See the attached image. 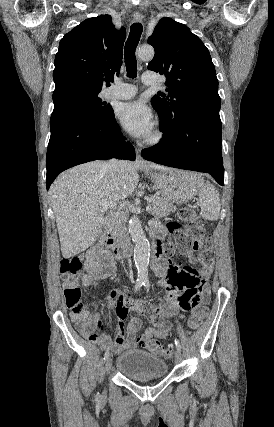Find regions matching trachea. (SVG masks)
I'll list each match as a JSON object with an SVG mask.
<instances>
[{
    "label": "trachea",
    "mask_w": 274,
    "mask_h": 427,
    "mask_svg": "<svg viewBox=\"0 0 274 427\" xmlns=\"http://www.w3.org/2000/svg\"><path fill=\"white\" fill-rule=\"evenodd\" d=\"M143 27L141 23H133L130 27L129 37L124 47V59L126 64L127 76L135 78L137 76V60L135 50L141 38Z\"/></svg>",
    "instance_id": "1"
}]
</instances>
